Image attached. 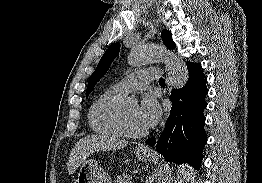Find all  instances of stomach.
Segmentation results:
<instances>
[{"label": "stomach", "mask_w": 262, "mask_h": 183, "mask_svg": "<svg viewBox=\"0 0 262 183\" xmlns=\"http://www.w3.org/2000/svg\"><path fill=\"white\" fill-rule=\"evenodd\" d=\"M151 154L146 150H136L140 161H147ZM75 183H111L110 176L92 159H87L79 166Z\"/></svg>", "instance_id": "0dacf381"}]
</instances>
